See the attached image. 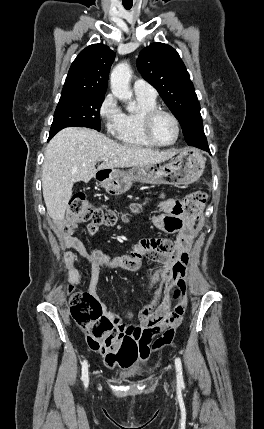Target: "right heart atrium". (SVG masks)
I'll use <instances>...</instances> for the list:
<instances>
[{"label": "right heart atrium", "instance_id": "1", "mask_svg": "<svg viewBox=\"0 0 264 429\" xmlns=\"http://www.w3.org/2000/svg\"><path fill=\"white\" fill-rule=\"evenodd\" d=\"M98 115L106 131L108 133H115L119 126L122 112L112 94L109 93L104 96L98 107Z\"/></svg>", "mask_w": 264, "mask_h": 429}]
</instances>
